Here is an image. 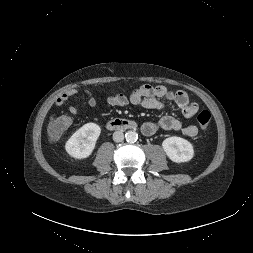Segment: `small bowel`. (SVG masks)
<instances>
[{"label":"small bowel","instance_id":"obj_1","mask_svg":"<svg viewBox=\"0 0 253 253\" xmlns=\"http://www.w3.org/2000/svg\"><path fill=\"white\" fill-rule=\"evenodd\" d=\"M89 106L95 107L97 101L89 90H83ZM77 94V90H68L61 94L55 104L57 107L64 105L69 99ZM166 99L174 103L181 111L184 118H191L198 111V105L190 102L188 94L183 90L171 91L164 85L152 86L145 84L134 90L130 95L116 94L107 98V105L111 107H123L128 104L142 106L147 109H163L166 104L161 101ZM73 115L78 113L74 105L69 107ZM161 128L167 131L181 132L184 136L193 138L197 135L198 129L195 125L183 126L180 120L173 116H164L157 122L147 121L142 124L141 130L145 136H152Z\"/></svg>","mask_w":253,"mask_h":253}]
</instances>
